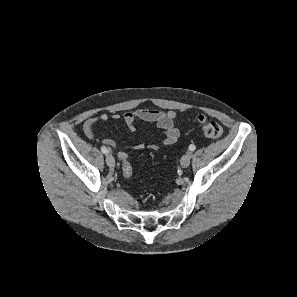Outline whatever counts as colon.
<instances>
[{
  "label": "colon",
  "instance_id": "colon-1",
  "mask_svg": "<svg viewBox=\"0 0 297 297\" xmlns=\"http://www.w3.org/2000/svg\"><path fill=\"white\" fill-rule=\"evenodd\" d=\"M198 123L200 125L202 133L210 139H218L222 136L223 129L215 121L207 119L205 116L198 117ZM118 157L121 162H124L123 174L125 178H131L133 175V169L128 163L129 155L125 151H119Z\"/></svg>",
  "mask_w": 297,
  "mask_h": 297
}]
</instances>
